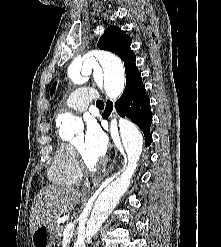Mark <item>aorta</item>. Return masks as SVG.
Returning <instances> with one entry per match:
<instances>
[{
	"label": "aorta",
	"instance_id": "aorta-1",
	"mask_svg": "<svg viewBox=\"0 0 221 247\" xmlns=\"http://www.w3.org/2000/svg\"><path fill=\"white\" fill-rule=\"evenodd\" d=\"M104 80L105 88L109 96L118 98L125 87V75L121 61L112 55L102 51H94L80 61L73 62L68 68V74L72 78L90 75L91 71ZM60 133L67 134L71 139L75 132L83 128L82 121L70 113H64L58 117ZM122 146L128 157V164L124 171L114 179L98 196L91 214L84 228L85 240L79 242V247H87L89 240L97 233L106 218L116 207L122 195L131 184V178L136 170L137 162L142 153L143 137L138 128L129 120L119 121Z\"/></svg>",
	"mask_w": 221,
	"mask_h": 247
}]
</instances>
